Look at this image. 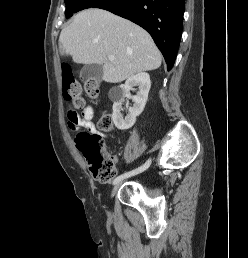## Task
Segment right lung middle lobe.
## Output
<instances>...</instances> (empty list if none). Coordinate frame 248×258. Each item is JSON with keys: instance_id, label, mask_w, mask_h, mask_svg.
I'll return each instance as SVG.
<instances>
[{"instance_id": "right-lung-middle-lobe-1", "label": "right lung middle lobe", "mask_w": 248, "mask_h": 258, "mask_svg": "<svg viewBox=\"0 0 248 258\" xmlns=\"http://www.w3.org/2000/svg\"><path fill=\"white\" fill-rule=\"evenodd\" d=\"M108 0H65L66 4V17H71L74 13L91 8L96 7L99 4H102L104 2H107Z\"/></svg>"}]
</instances>
